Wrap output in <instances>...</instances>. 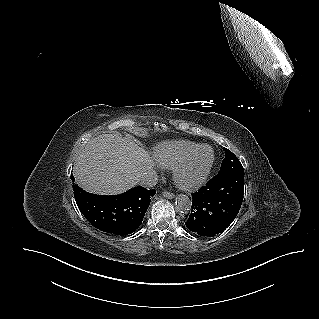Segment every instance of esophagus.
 <instances>
[{"label":"esophagus","mask_w":319,"mask_h":319,"mask_svg":"<svg viewBox=\"0 0 319 319\" xmlns=\"http://www.w3.org/2000/svg\"><path fill=\"white\" fill-rule=\"evenodd\" d=\"M163 196H164L165 198H168V199H173V198L175 197V195H174L173 193L168 192V191H164V192H163Z\"/></svg>","instance_id":"obj_1"}]
</instances>
